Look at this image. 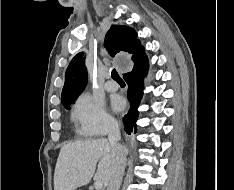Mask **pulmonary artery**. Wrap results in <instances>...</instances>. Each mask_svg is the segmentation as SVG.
<instances>
[{"label": "pulmonary artery", "mask_w": 234, "mask_h": 190, "mask_svg": "<svg viewBox=\"0 0 234 190\" xmlns=\"http://www.w3.org/2000/svg\"><path fill=\"white\" fill-rule=\"evenodd\" d=\"M110 76L107 75V78H109ZM105 88L106 90L108 91H116L118 89V84L114 81H111V80H108L106 83H105Z\"/></svg>", "instance_id": "e3ab8cb5"}]
</instances>
